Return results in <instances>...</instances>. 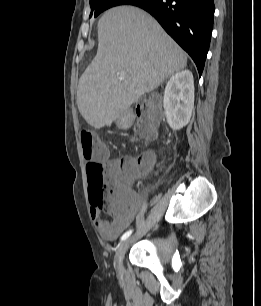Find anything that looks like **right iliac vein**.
<instances>
[{
	"label": "right iliac vein",
	"mask_w": 261,
	"mask_h": 306,
	"mask_svg": "<svg viewBox=\"0 0 261 306\" xmlns=\"http://www.w3.org/2000/svg\"><path fill=\"white\" fill-rule=\"evenodd\" d=\"M132 238L125 239L117 248L115 257H114V265L116 270H120L122 268L123 259L126 250L128 249Z\"/></svg>",
	"instance_id": "1"
}]
</instances>
